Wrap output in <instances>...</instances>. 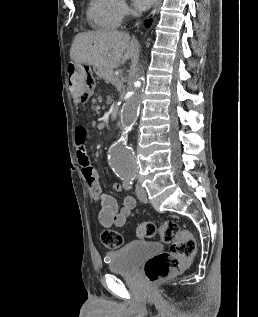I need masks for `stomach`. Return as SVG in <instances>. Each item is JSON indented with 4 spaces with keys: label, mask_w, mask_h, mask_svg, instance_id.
<instances>
[{
    "label": "stomach",
    "mask_w": 258,
    "mask_h": 317,
    "mask_svg": "<svg viewBox=\"0 0 258 317\" xmlns=\"http://www.w3.org/2000/svg\"><path fill=\"white\" fill-rule=\"evenodd\" d=\"M75 70H83V68H85V66H83V64H76V62H74L73 64Z\"/></svg>",
    "instance_id": "obj_1"
}]
</instances>
